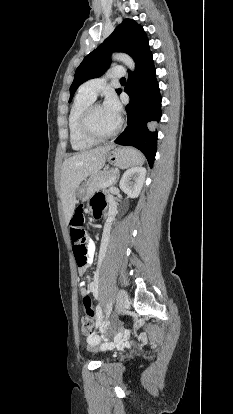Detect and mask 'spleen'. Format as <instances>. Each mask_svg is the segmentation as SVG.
I'll return each instance as SVG.
<instances>
[{"instance_id":"3e777b00","label":"spleen","mask_w":233,"mask_h":414,"mask_svg":"<svg viewBox=\"0 0 233 414\" xmlns=\"http://www.w3.org/2000/svg\"><path fill=\"white\" fill-rule=\"evenodd\" d=\"M135 154L138 155L139 157L136 159V161L134 162V164L132 166L142 165L144 163V159H143L142 155L137 150H135Z\"/></svg>"}]
</instances>
